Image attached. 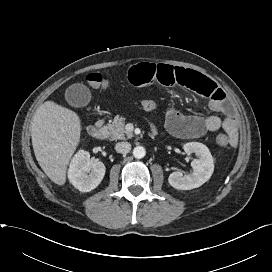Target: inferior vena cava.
<instances>
[{"instance_id": "obj_1", "label": "inferior vena cava", "mask_w": 272, "mask_h": 272, "mask_svg": "<svg viewBox=\"0 0 272 272\" xmlns=\"http://www.w3.org/2000/svg\"><path fill=\"white\" fill-rule=\"evenodd\" d=\"M115 150L121 154H127L131 150V144L128 142H119L115 145Z\"/></svg>"}]
</instances>
